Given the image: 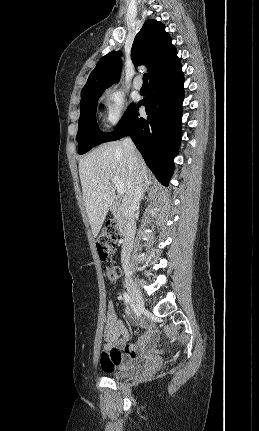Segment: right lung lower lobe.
Returning <instances> with one entry per match:
<instances>
[{"mask_svg": "<svg viewBox=\"0 0 259 431\" xmlns=\"http://www.w3.org/2000/svg\"><path fill=\"white\" fill-rule=\"evenodd\" d=\"M179 63L149 82V92L134 105L105 142L131 135L147 166L164 185L174 170V157L181 141V117L184 98V75ZM145 106L146 118L139 117Z\"/></svg>", "mask_w": 259, "mask_h": 431, "instance_id": "obj_1", "label": "right lung lower lobe"}]
</instances>
